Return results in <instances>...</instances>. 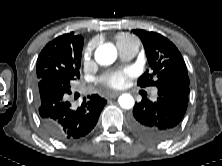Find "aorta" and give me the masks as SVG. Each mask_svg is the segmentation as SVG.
I'll return each mask as SVG.
<instances>
[{"label":"aorta","mask_w":222,"mask_h":166,"mask_svg":"<svg viewBox=\"0 0 222 166\" xmlns=\"http://www.w3.org/2000/svg\"><path fill=\"white\" fill-rule=\"evenodd\" d=\"M117 58L116 47L111 43L100 45L95 51V60L100 65H110ZM120 106L124 109H131L134 106V98L130 94H122L118 98Z\"/></svg>","instance_id":"obj_1"}]
</instances>
